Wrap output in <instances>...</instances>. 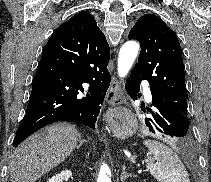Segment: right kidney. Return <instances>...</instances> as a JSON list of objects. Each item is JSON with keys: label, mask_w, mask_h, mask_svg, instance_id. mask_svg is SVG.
Instances as JSON below:
<instances>
[{"label": "right kidney", "mask_w": 211, "mask_h": 182, "mask_svg": "<svg viewBox=\"0 0 211 182\" xmlns=\"http://www.w3.org/2000/svg\"><path fill=\"white\" fill-rule=\"evenodd\" d=\"M72 176V172L70 170L62 171L60 174L53 176L47 182H63Z\"/></svg>", "instance_id": "ca27d5eb"}]
</instances>
